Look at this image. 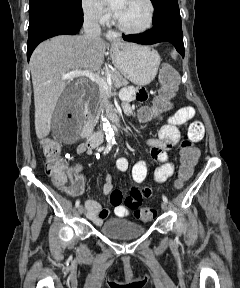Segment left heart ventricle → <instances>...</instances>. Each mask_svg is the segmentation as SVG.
<instances>
[{
  "label": "left heart ventricle",
  "instance_id": "b2bd125f",
  "mask_svg": "<svg viewBox=\"0 0 240 288\" xmlns=\"http://www.w3.org/2000/svg\"><path fill=\"white\" fill-rule=\"evenodd\" d=\"M118 17L129 28H141L148 22L149 7L145 0H126Z\"/></svg>",
  "mask_w": 240,
  "mask_h": 288
}]
</instances>
